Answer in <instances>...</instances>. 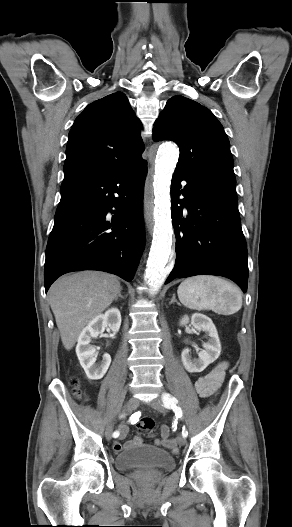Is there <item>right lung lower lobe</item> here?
<instances>
[{
  "mask_svg": "<svg viewBox=\"0 0 292 527\" xmlns=\"http://www.w3.org/2000/svg\"><path fill=\"white\" fill-rule=\"evenodd\" d=\"M146 162L107 175L64 178L46 248L45 291L61 275L101 270L131 281L145 244Z\"/></svg>",
  "mask_w": 292,
  "mask_h": 527,
  "instance_id": "obj_1",
  "label": "right lung lower lobe"
}]
</instances>
